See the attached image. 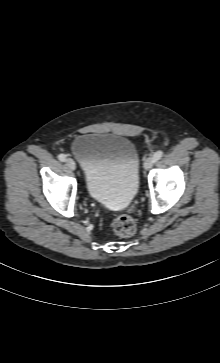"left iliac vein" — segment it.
<instances>
[{"label": "left iliac vein", "instance_id": "left-iliac-vein-1", "mask_svg": "<svg viewBox=\"0 0 220 363\" xmlns=\"http://www.w3.org/2000/svg\"><path fill=\"white\" fill-rule=\"evenodd\" d=\"M154 164L153 157H148L144 162V169L149 170Z\"/></svg>", "mask_w": 220, "mask_h": 363}]
</instances>
